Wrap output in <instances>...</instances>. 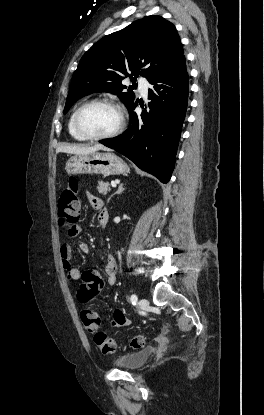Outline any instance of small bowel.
Masks as SVG:
<instances>
[{
    "label": "small bowel",
    "instance_id": "small-bowel-1",
    "mask_svg": "<svg viewBox=\"0 0 264 415\" xmlns=\"http://www.w3.org/2000/svg\"><path fill=\"white\" fill-rule=\"evenodd\" d=\"M88 200L92 207L98 211V225L100 228H104L109 220V212L104 207L103 202L94 197L88 196ZM79 249L82 253H89L90 247L86 242L79 244ZM61 262L68 273V278L71 281H80L82 273L80 268L72 264V246L69 243H63L60 246ZM105 274L106 282L108 285H114L117 281V265L115 259L111 255H107L105 258ZM130 321L126 318L125 314L121 310H115L113 313L112 327L129 325Z\"/></svg>",
    "mask_w": 264,
    "mask_h": 415
}]
</instances>
